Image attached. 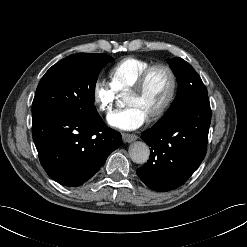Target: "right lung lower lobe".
Masks as SVG:
<instances>
[{"label": "right lung lower lobe", "mask_w": 247, "mask_h": 247, "mask_svg": "<svg viewBox=\"0 0 247 247\" xmlns=\"http://www.w3.org/2000/svg\"><path fill=\"white\" fill-rule=\"evenodd\" d=\"M32 135L46 173L68 187L85 183L122 144L120 133L98 114L85 117L69 109L33 118Z\"/></svg>", "instance_id": "1"}]
</instances>
